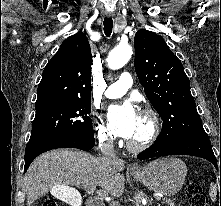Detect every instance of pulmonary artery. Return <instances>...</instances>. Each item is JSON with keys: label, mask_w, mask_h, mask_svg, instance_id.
I'll return each mask as SVG.
<instances>
[{"label": "pulmonary artery", "mask_w": 221, "mask_h": 206, "mask_svg": "<svg viewBox=\"0 0 221 206\" xmlns=\"http://www.w3.org/2000/svg\"><path fill=\"white\" fill-rule=\"evenodd\" d=\"M133 85V78L130 73L124 72L117 82L110 85L105 91V97L109 99L123 96Z\"/></svg>", "instance_id": "e3ab8cb5"}]
</instances>
